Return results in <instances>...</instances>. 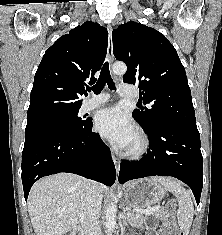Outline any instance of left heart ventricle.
I'll list each match as a JSON object with an SVG mask.
<instances>
[{
    "mask_svg": "<svg viewBox=\"0 0 222 235\" xmlns=\"http://www.w3.org/2000/svg\"><path fill=\"white\" fill-rule=\"evenodd\" d=\"M136 142H137V139H136V136H134V138H133L132 142L130 143L129 147L135 145Z\"/></svg>",
    "mask_w": 222,
    "mask_h": 235,
    "instance_id": "b2bd125f",
    "label": "left heart ventricle"
}]
</instances>
